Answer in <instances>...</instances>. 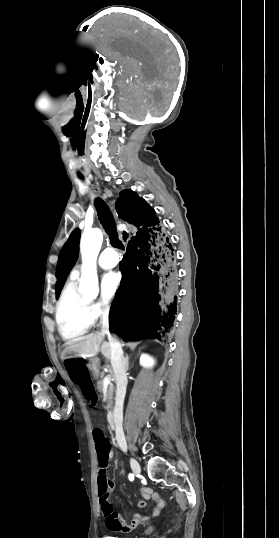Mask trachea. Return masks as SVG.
<instances>
[{
  "mask_svg": "<svg viewBox=\"0 0 279 538\" xmlns=\"http://www.w3.org/2000/svg\"><path fill=\"white\" fill-rule=\"evenodd\" d=\"M95 208L98 213V218L106 233L110 236L111 245L116 248L124 249V245L118 238L115 221L108 205L100 198L94 201Z\"/></svg>",
  "mask_w": 279,
  "mask_h": 538,
  "instance_id": "obj_1",
  "label": "trachea"
}]
</instances>
